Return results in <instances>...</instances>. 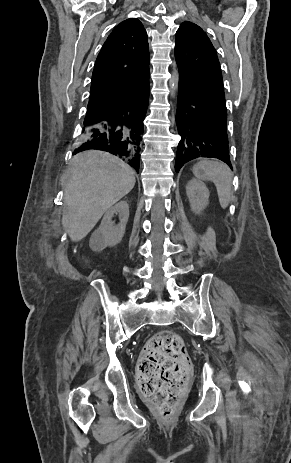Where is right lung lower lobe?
<instances>
[{"mask_svg": "<svg viewBox=\"0 0 291 463\" xmlns=\"http://www.w3.org/2000/svg\"><path fill=\"white\" fill-rule=\"evenodd\" d=\"M149 102V85L128 96L122 104L89 123L84 122L81 145L74 154L97 149L114 154L139 172L143 120Z\"/></svg>", "mask_w": 291, "mask_h": 463, "instance_id": "1", "label": "right lung lower lobe"}]
</instances>
